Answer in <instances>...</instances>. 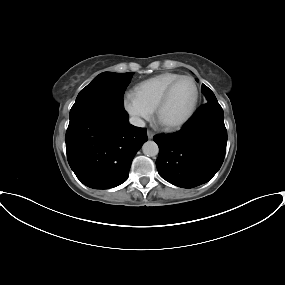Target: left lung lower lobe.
<instances>
[{
    "instance_id": "0a47b994",
    "label": "left lung lower lobe",
    "mask_w": 285,
    "mask_h": 285,
    "mask_svg": "<svg viewBox=\"0 0 285 285\" xmlns=\"http://www.w3.org/2000/svg\"><path fill=\"white\" fill-rule=\"evenodd\" d=\"M156 166L173 185L193 188L208 182L220 169L227 144L224 114L219 104L201 106L178 133L158 135Z\"/></svg>"
}]
</instances>
